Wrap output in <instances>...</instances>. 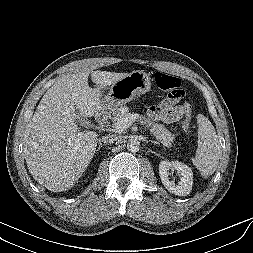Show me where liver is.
<instances>
[{"label":"liver","mask_w":253,"mask_h":253,"mask_svg":"<svg viewBox=\"0 0 253 253\" xmlns=\"http://www.w3.org/2000/svg\"><path fill=\"white\" fill-rule=\"evenodd\" d=\"M89 74L95 89L88 85ZM126 75L82 70L62 76L47 90L24 133L25 160L38 183L62 192L82 177L95 154L98 134L80 132L76 120L101 114V90Z\"/></svg>","instance_id":"1"}]
</instances>
